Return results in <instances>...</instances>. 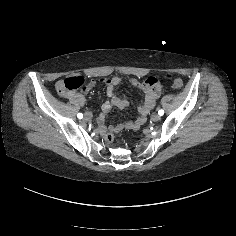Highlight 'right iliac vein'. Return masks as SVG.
<instances>
[{
    "mask_svg": "<svg viewBox=\"0 0 236 236\" xmlns=\"http://www.w3.org/2000/svg\"><path fill=\"white\" fill-rule=\"evenodd\" d=\"M91 119V115L90 114H86V116L84 117V121L87 122Z\"/></svg>",
    "mask_w": 236,
    "mask_h": 236,
    "instance_id": "right-iliac-vein-1",
    "label": "right iliac vein"
}]
</instances>
